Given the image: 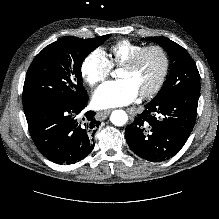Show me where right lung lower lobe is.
<instances>
[{
	"label": "right lung lower lobe",
	"instance_id": "obj_1",
	"mask_svg": "<svg viewBox=\"0 0 219 219\" xmlns=\"http://www.w3.org/2000/svg\"><path fill=\"white\" fill-rule=\"evenodd\" d=\"M87 101L50 100L24 110L31 137L49 160L73 164L93 150L91 136L100 122L93 111L80 118Z\"/></svg>",
	"mask_w": 219,
	"mask_h": 219
}]
</instances>
